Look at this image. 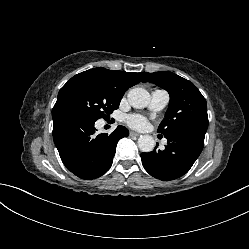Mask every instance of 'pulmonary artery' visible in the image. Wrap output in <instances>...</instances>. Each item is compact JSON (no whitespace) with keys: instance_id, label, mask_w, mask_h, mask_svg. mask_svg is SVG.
<instances>
[{"instance_id":"pulmonary-artery-1","label":"pulmonary artery","mask_w":249,"mask_h":249,"mask_svg":"<svg viewBox=\"0 0 249 249\" xmlns=\"http://www.w3.org/2000/svg\"><path fill=\"white\" fill-rule=\"evenodd\" d=\"M169 101V95L165 90H154L151 95L149 108L153 111L162 110ZM166 143V140L163 141Z\"/></svg>"}]
</instances>
